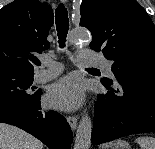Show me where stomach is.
I'll use <instances>...</instances> for the list:
<instances>
[{
	"label": "stomach",
	"instance_id": "obj_1",
	"mask_svg": "<svg viewBox=\"0 0 155 149\" xmlns=\"http://www.w3.org/2000/svg\"><path fill=\"white\" fill-rule=\"evenodd\" d=\"M108 147L109 148H105V149H131L130 145L125 140H122V139L111 142L108 145Z\"/></svg>",
	"mask_w": 155,
	"mask_h": 149
}]
</instances>
